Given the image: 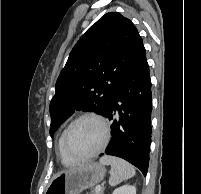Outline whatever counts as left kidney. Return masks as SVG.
Wrapping results in <instances>:
<instances>
[{"label":"left kidney","mask_w":201,"mask_h":194,"mask_svg":"<svg viewBox=\"0 0 201 194\" xmlns=\"http://www.w3.org/2000/svg\"><path fill=\"white\" fill-rule=\"evenodd\" d=\"M112 194H136V188L132 185H124L115 189Z\"/></svg>","instance_id":"5707ae66"}]
</instances>
